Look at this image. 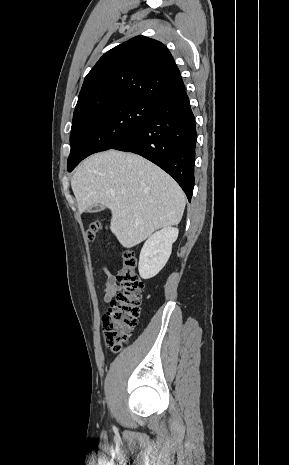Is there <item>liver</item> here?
<instances>
[{
	"mask_svg": "<svg viewBox=\"0 0 289 465\" xmlns=\"http://www.w3.org/2000/svg\"><path fill=\"white\" fill-rule=\"evenodd\" d=\"M71 187L80 214L94 204L111 210L110 229L125 248L159 228L179 224L186 203L182 189L162 169L139 155L113 149L84 160Z\"/></svg>",
	"mask_w": 289,
	"mask_h": 465,
	"instance_id": "obj_1",
	"label": "liver"
}]
</instances>
